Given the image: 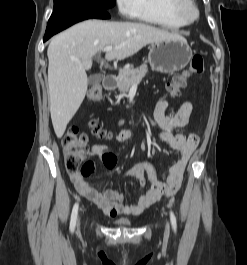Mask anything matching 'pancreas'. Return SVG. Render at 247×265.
Instances as JSON below:
<instances>
[{"label": "pancreas", "instance_id": "pancreas-1", "mask_svg": "<svg viewBox=\"0 0 247 265\" xmlns=\"http://www.w3.org/2000/svg\"><path fill=\"white\" fill-rule=\"evenodd\" d=\"M147 73L148 66L145 63L136 69L120 71L117 77L118 90L121 93H126L133 84L140 82Z\"/></svg>", "mask_w": 247, "mask_h": 265}]
</instances>
